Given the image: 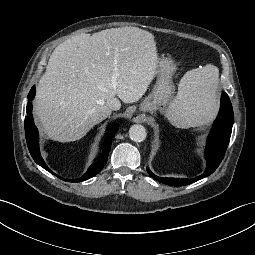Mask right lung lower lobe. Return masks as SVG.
Masks as SVG:
<instances>
[{"label": "right lung lower lobe", "mask_w": 255, "mask_h": 255, "mask_svg": "<svg viewBox=\"0 0 255 255\" xmlns=\"http://www.w3.org/2000/svg\"><path fill=\"white\" fill-rule=\"evenodd\" d=\"M35 96V87H32V89L29 92L28 95V104L26 108L27 116L25 117V135L27 140V145L29 148V151L34 159V161L42 166L45 170L53 173L48 166L45 164L44 160L42 159L39 151V145H38V131L37 128L34 125L33 118H32V103L31 100ZM117 132V124H110L107 128V137L105 139V146L103 148L102 154L99 156V158L89 167L88 171L80 178L77 179H64L59 177L60 179L67 181V182H82L85 181L96 174L100 172V170L105 166L108 154L111 149L112 144V138ZM54 174V173H53Z\"/></svg>", "instance_id": "right-lung-lower-lobe-1"}]
</instances>
